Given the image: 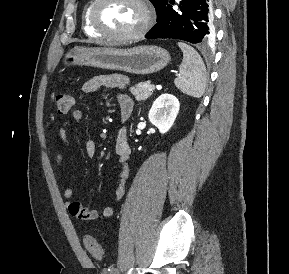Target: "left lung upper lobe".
I'll return each instance as SVG.
<instances>
[{
    "label": "left lung upper lobe",
    "mask_w": 289,
    "mask_h": 274,
    "mask_svg": "<svg viewBox=\"0 0 289 274\" xmlns=\"http://www.w3.org/2000/svg\"><path fill=\"white\" fill-rule=\"evenodd\" d=\"M168 0H150V2L154 5L156 9L157 15L159 14L160 10L163 6L167 3Z\"/></svg>",
    "instance_id": "obj_1"
}]
</instances>
